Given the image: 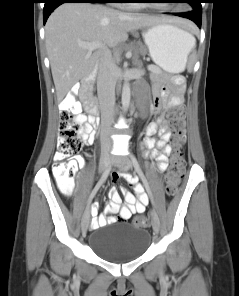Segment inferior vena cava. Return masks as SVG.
<instances>
[{
	"label": "inferior vena cava",
	"mask_w": 239,
	"mask_h": 296,
	"mask_svg": "<svg viewBox=\"0 0 239 296\" xmlns=\"http://www.w3.org/2000/svg\"><path fill=\"white\" fill-rule=\"evenodd\" d=\"M118 68L111 56L105 55L99 65L97 92L101 110V143L112 145L109 138L114 123L115 86Z\"/></svg>",
	"instance_id": "inferior-vena-cava-1"
}]
</instances>
